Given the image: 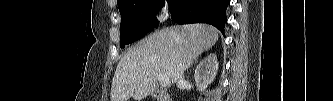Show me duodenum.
Here are the masks:
<instances>
[{
    "label": "duodenum",
    "mask_w": 333,
    "mask_h": 101,
    "mask_svg": "<svg viewBox=\"0 0 333 101\" xmlns=\"http://www.w3.org/2000/svg\"><path fill=\"white\" fill-rule=\"evenodd\" d=\"M154 98L157 101H171L169 95L164 90H158L154 93Z\"/></svg>",
    "instance_id": "1"
}]
</instances>
